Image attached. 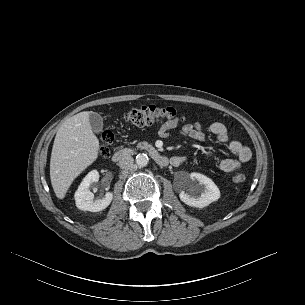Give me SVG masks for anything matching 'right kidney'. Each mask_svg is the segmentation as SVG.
<instances>
[{"mask_svg":"<svg viewBox=\"0 0 305 305\" xmlns=\"http://www.w3.org/2000/svg\"><path fill=\"white\" fill-rule=\"evenodd\" d=\"M98 180L99 173L97 170H92L85 176L74 195L78 209L98 212L109 206L113 198L112 193L107 192L102 199L94 200V194L89 190L90 185L98 182Z\"/></svg>","mask_w":305,"mask_h":305,"instance_id":"obj_1","label":"right kidney"}]
</instances>
